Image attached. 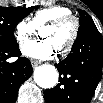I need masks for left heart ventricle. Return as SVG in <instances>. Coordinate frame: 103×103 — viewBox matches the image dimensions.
I'll return each instance as SVG.
<instances>
[{"label":"left heart ventricle","mask_w":103,"mask_h":103,"mask_svg":"<svg viewBox=\"0 0 103 103\" xmlns=\"http://www.w3.org/2000/svg\"><path fill=\"white\" fill-rule=\"evenodd\" d=\"M40 35L44 39H51L56 48L59 49L68 41L71 35V26L68 25L62 28L45 27Z\"/></svg>","instance_id":"b2bd125f"}]
</instances>
